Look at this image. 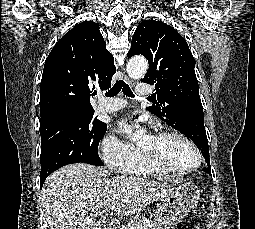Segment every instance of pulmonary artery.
I'll return each instance as SVG.
<instances>
[{
  "label": "pulmonary artery",
  "mask_w": 255,
  "mask_h": 229,
  "mask_svg": "<svg viewBox=\"0 0 255 229\" xmlns=\"http://www.w3.org/2000/svg\"><path fill=\"white\" fill-rule=\"evenodd\" d=\"M153 92V86L149 84H140L136 87L138 96H148ZM126 106V101L119 98H111L99 105L98 110L101 113H112L121 110Z\"/></svg>",
  "instance_id": "obj_1"
}]
</instances>
